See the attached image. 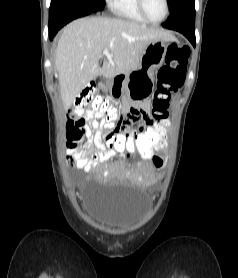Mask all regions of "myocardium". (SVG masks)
<instances>
[{
  "label": "myocardium",
  "instance_id": "myocardium-1",
  "mask_svg": "<svg viewBox=\"0 0 238 278\" xmlns=\"http://www.w3.org/2000/svg\"><path fill=\"white\" fill-rule=\"evenodd\" d=\"M165 3V14L164 16L160 19V20H153L149 17V15L147 14L146 8H145V1L144 0H137V5H138V9L140 11V13L142 14V16L150 23L153 24H160L162 23L169 15L170 13V5H169V1L168 0H164Z\"/></svg>",
  "mask_w": 238,
  "mask_h": 278
}]
</instances>
